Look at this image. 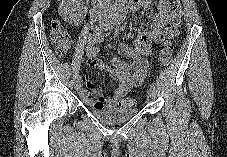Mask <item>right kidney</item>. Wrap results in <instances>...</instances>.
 Returning a JSON list of instances; mask_svg holds the SVG:
<instances>
[{"mask_svg":"<svg viewBox=\"0 0 227 157\" xmlns=\"http://www.w3.org/2000/svg\"><path fill=\"white\" fill-rule=\"evenodd\" d=\"M75 1H61L59 7V13L63 19L70 24H78L80 16L75 14V6L73 5ZM73 5V6H72Z\"/></svg>","mask_w":227,"mask_h":157,"instance_id":"1","label":"right kidney"}]
</instances>
